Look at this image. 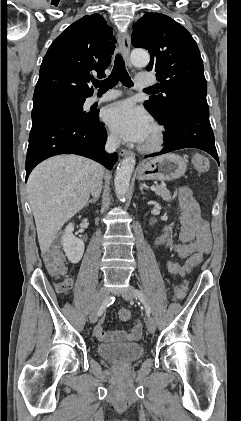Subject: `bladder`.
<instances>
[{
	"label": "bladder",
	"instance_id": "1",
	"mask_svg": "<svg viewBox=\"0 0 241 421\" xmlns=\"http://www.w3.org/2000/svg\"><path fill=\"white\" fill-rule=\"evenodd\" d=\"M97 353L101 358L109 362L129 364L139 360L143 356L144 348L139 343H103L97 346Z\"/></svg>",
	"mask_w": 241,
	"mask_h": 421
}]
</instances>
